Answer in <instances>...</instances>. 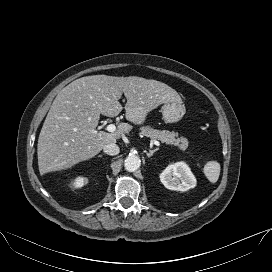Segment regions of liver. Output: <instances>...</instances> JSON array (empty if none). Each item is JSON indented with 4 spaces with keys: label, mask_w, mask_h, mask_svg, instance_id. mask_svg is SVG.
<instances>
[{
    "label": "liver",
    "mask_w": 272,
    "mask_h": 272,
    "mask_svg": "<svg viewBox=\"0 0 272 272\" xmlns=\"http://www.w3.org/2000/svg\"><path fill=\"white\" fill-rule=\"evenodd\" d=\"M122 94L127 99L125 117L136 125L161 104L181 101L165 83L137 76L93 75L71 82L54 99L42 126L37 146L40 174L88 160L129 133L132 126L127 123H120L114 133L96 130L101 114L115 117L122 111Z\"/></svg>",
    "instance_id": "liver-1"
}]
</instances>
